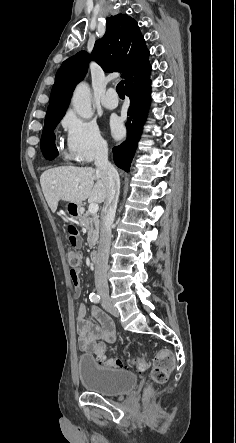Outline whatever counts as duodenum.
<instances>
[{
  "mask_svg": "<svg viewBox=\"0 0 236 443\" xmlns=\"http://www.w3.org/2000/svg\"><path fill=\"white\" fill-rule=\"evenodd\" d=\"M89 259L93 264H96L98 261L97 254L94 252L90 253Z\"/></svg>",
  "mask_w": 236,
  "mask_h": 443,
  "instance_id": "410a0bca",
  "label": "duodenum"
}]
</instances>
